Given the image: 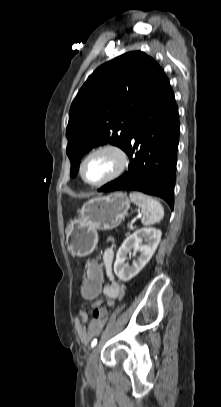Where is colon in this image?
<instances>
[{"mask_svg":"<svg viewBox=\"0 0 221 407\" xmlns=\"http://www.w3.org/2000/svg\"><path fill=\"white\" fill-rule=\"evenodd\" d=\"M84 277L80 285V300H94L95 297H99L98 292H103L104 279L102 272V263L97 258L87 263V271H84ZM93 316L95 318H106L108 311L103 305H96L93 310Z\"/></svg>","mask_w":221,"mask_h":407,"instance_id":"1","label":"colon"}]
</instances>
